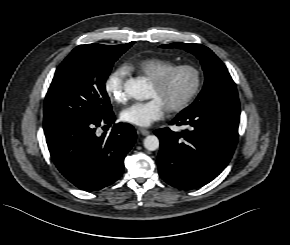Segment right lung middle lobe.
I'll return each instance as SVG.
<instances>
[{"mask_svg":"<svg viewBox=\"0 0 290 245\" xmlns=\"http://www.w3.org/2000/svg\"><path fill=\"white\" fill-rule=\"evenodd\" d=\"M134 42L77 46L57 68L44 102V124L103 119L112 109L105 81Z\"/></svg>","mask_w":290,"mask_h":245,"instance_id":"obj_1","label":"right lung middle lobe"}]
</instances>
